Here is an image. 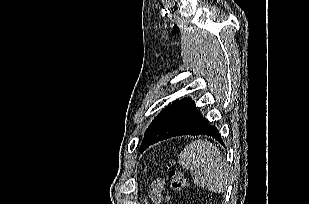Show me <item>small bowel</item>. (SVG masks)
I'll return each instance as SVG.
<instances>
[{
	"label": "small bowel",
	"instance_id": "c3829d8e",
	"mask_svg": "<svg viewBox=\"0 0 309 204\" xmlns=\"http://www.w3.org/2000/svg\"><path fill=\"white\" fill-rule=\"evenodd\" d=\"M166 187V182L164 178H156L150 185L149 188V198L154 204H164L166 196L164 195V190Z\"/></svg>",
	"mask_w": 309,
	"mask_h": 204
}]
</instances>
